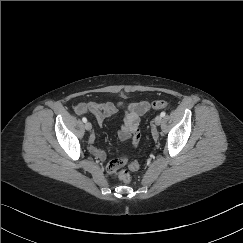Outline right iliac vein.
<instances>
[{
	"mask_svg": "<svg viewBox=\"0 0 243 243\" xmlns=\"http://www.w3.org/2000/svg\"><path fill=\"white\" fill-rule=\"evenodd\" d=\"M85 129L88 130V131H91L92 129V124L90 122H86L85 123Z\"/></svg>",
	"mask_w": 243,
	"mask_h": 243,
	"instance_id": "1",
	"label": "right iliac vein"
}]
</instances>
